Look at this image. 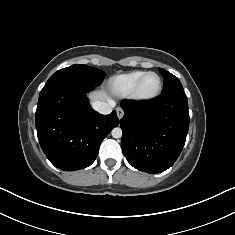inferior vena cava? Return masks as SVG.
<instances>
[{"label":"inferior vena cava","mask_w":235,"mask_h":235,"mask_svg":"<svg viewBox=\"0 0 235 235\" xmlns=\"http://www.w3.org/2000/svg\"><path fill=\"white\" fill-rule=\"evenodd\" d=\"M114 106L115 102L111 100L108 102L95 101L92 104L94 110L104 115L110 114Z\"/></svg>","instance_id":"inferior-vena-cava-1"}]
</instances>
